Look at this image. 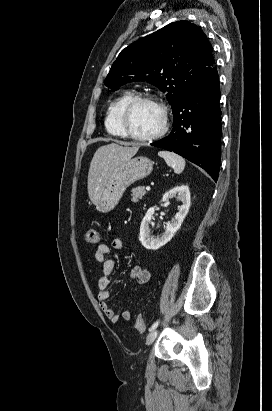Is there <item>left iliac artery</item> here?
I'll use <instances>...</instances> for the list:
<instances>
[{
  "label": "left iliac artery",
  "mask_w": 272,
  "mask_h": 411,
  "mask_svg": "<svg viewBox=\"0 0 272 411\" xmlns=\"http://www.w3.org/2000/svg\"><path fill=\"white\" fill-rule=\"evenodd\" d=\"M159 320H157L156 322L153 323V325L151 326V328L149 329L150 331L154 330L155 328H157V326L159 325Z\"/></svg>",
  "instance_id": "44dca946"
}]
</instances>
